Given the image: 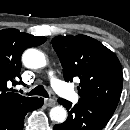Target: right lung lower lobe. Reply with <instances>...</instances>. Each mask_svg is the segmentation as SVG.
Masks as SVG:
<instances>
[{"label":"right lung lower lobe","mask_w":130,"mask_h":130,"mask_svg":"<svg viewBox=\"0 0 130 130\" xmlns=\"http://www.w3.org/2000/svg\"><path fill=\"white\" fill-rule=\"evenodd\" d=\"M43 105L42 98L0 111V130H23L25 115Z\"/></svg>","instance_id":"1"}]
</instances>
